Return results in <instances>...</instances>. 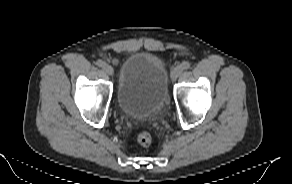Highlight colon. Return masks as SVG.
Segmentation results:
<instances>
[{"instance_id":"colon-1","label":"colon","mask_w":292,"mask_h":184,"mask_svg":"<svg viewBox=\"0 0 292 184\" xmlns=\"http://www.w3.org/2000/svg\"><path fill=\"white\" fill-rule=\"evenodd\" d=\"M137 141L142 146H148L151 143L152 138L150 133L143 131L138 134Z\"/></svg>"}]
</instances>
